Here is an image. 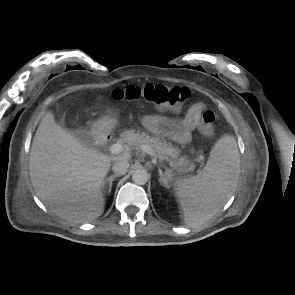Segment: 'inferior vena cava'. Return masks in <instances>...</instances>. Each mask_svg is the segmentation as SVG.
Here are the masks:
<instances>
[{
    "label": "inferior vena cava",
    "instance_id": "obj_1",
    "mask_svg": "<svg viewBox=\"0 0 295 295\" xmlns=\"http://www.w3.org/2000/svg\"><path fill=\"white\" fill-rule=\"evenodd\" d=\"M129 168V163L127 160H118L114 162L112 170L114 173L119 175H124Z\"/></svg>",
    "mask_w": 295,
    "mask_h": 295
}]
</instances>
